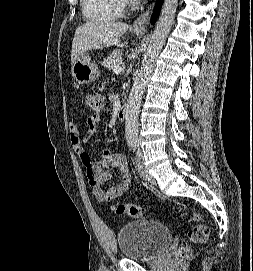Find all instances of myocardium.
Masks as SVG:
<instances>
[{
  "mask_svg": "<svg viewBox=\"0 0 253 271\" xmlns=\"http://www.w3.org/2000/svg\"><path fill=\"white\" fill-rule=\"evenodd\" d=\"M124 2H126V1H129V0H123Z\"/></svg>",
  "mask_w": 253,
  "mask_h": 271,
  "instance_id": "f54148a6",
  "label": "myocardium"
}]
</instances>
